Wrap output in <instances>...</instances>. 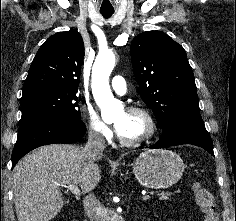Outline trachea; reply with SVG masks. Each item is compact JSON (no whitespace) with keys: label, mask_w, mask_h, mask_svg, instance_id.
Segmentation results:
<instances>
[{"label":"trachea","mask_w":236,"mask_h":221,"mask_svg":"<svg viewBox=\"0 0 236 221\" xmlns=\"http://www.w3.org/2000/svg\"><path fill=\"white\" fill-rule=\"evenodd\" d=\"M113 13H114V12H101V14H102V16H103L104 18H109V17H111Z\"/></svg>","instance_id":"trachea-1"}]
</instances>
